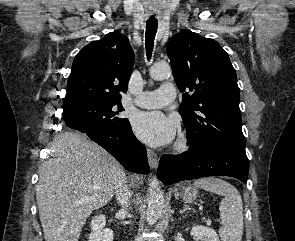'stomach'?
I'll list each match as a JSON object with an SVG mask.
<instances>
[{
    "label": "stomach",
    "instance_id": "1",
    "mask_svg": "<svg viewBox=\"0 0 295 241\" xmlns=\"http://www.w3.org/2000/svg\"><path fill=\"white\" fill-rule=\"evenodd\" d=\"M175 194L180 196L185 202H192L197 198L198 190L190 184H183L175 190Z\"/></svg>",
    "mask_w": 295,
    "mask_h": 241
}]
</instances>
